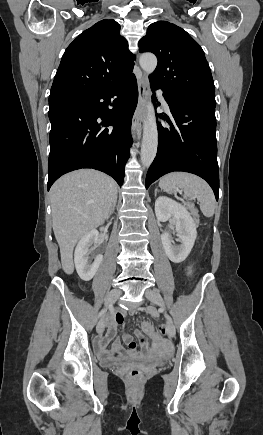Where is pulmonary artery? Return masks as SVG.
Here are the masks:
<instances>
[{"label":"pulmonary artery","mask_w":263,"mask_h":435,"mask_svg":"<svg viewBox=\"0 0 263 435\" xmlns=\"http://www.w3.org/2000/svg\"><path fill=\"white\" fill-rule=\"evenodd\" d=\"M159 93H160L161 102H162L164 108L166 110H169V105H168L166 99L164 98V96L162 95V92H159Z\"/></svg>","instance_id":"pulmonary-artery-1"}]
</instances>
